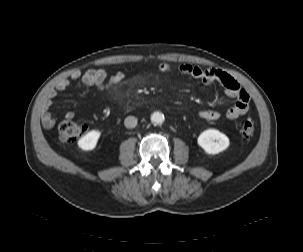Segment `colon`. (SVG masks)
I'll list each match as a JSON object with an SVG mask.
<instances>
[{
	"label": "colon",
	"mask_w": 303,
	"mask_h": 252,
	"mask_svg": "<svg viewBox=\"0 0 303 252\" xmlns=\"http://www.w3.org/2000/svg\"><path fill=\"white\" fill-rule=\"evenodd\" d=\"M84 128L73 121H63L59 126L60 137L67 142H75L83 133ZM241 133L244 138H250L255 133V125L252 122H245L242 124Z\"/></svg>",
	"instance_id": "colon-1"
}]
</instances>
